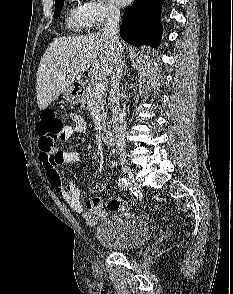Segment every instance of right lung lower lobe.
Wrapping results in <instances>:
<instances>
[{
	"label": "right lung lower lobe",
	"instance_id": "1",
	"mask_svg": "<svg viewBox=\"0 0 233 294\" xmlns=\"http://www.w3.org/2000/svg\"><path fill=\"white\" fill-rule=\"evenodd\" d=\"M163 0H134L123 14L120 36L136 47H158L162 36L160 13Z\"/></svg>",
	"mask_w": 233,
	"mask_h": 294
}]
</instances>
